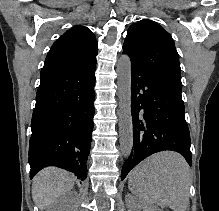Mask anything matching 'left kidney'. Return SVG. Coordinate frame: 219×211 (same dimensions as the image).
I'll use <instances>...</instances> for the list:
<instances>
[{
	"label": "left kidney",
	"instance_id": "1",
	"mask_svg": "<svg viewBox=\"0 0 219 211\" xmlns=\"http://www.w3.org/2000/svg\"><path fill=\"white\" fill-rule=\"evenodd\" d=\"M161 211L158 205H145L144 201H140V205H136L135 211Z\"/></svg>",
	"mask_w": 219,
	"mask_h": 211
}]
</instances>
